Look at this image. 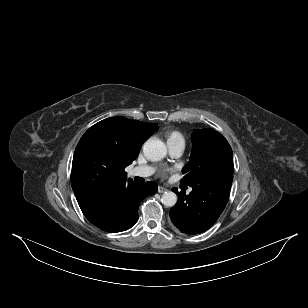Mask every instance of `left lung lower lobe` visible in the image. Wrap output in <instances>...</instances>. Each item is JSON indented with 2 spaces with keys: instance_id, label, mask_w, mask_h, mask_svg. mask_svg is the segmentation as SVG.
Listing matches in <instances>:
<instances>
[{
  "instance_id": "1",
  "label": "left lung lower lobe",
  "mask_w": 308,
  "mask_h": 308,
  "mask_svg": "<svg viewBox=\"0 0 308 308\" xmlns=\"http://www.w3.org/2000/svg\"><path fill=\"white\" fill-rule=\"evenodd\" d=\"M233 174L223 173L206 178L192 185L189 195L178 194V201L170 210L173 224L186 234H198L208 230L223 212L230 194Z\"/></svg>"
}]
</instances>
